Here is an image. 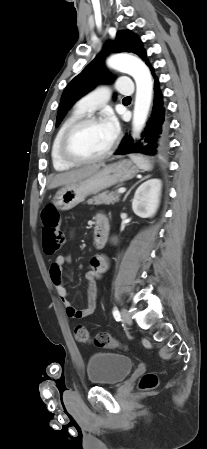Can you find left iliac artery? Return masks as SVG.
<instances>
[{
  "label": "left iliac artery",
  "mask_w": 207,
  "mask_h": 449,
  "mask_svg": "<svg viewBox=\"0 0 207 449\" xmlns=\"http://www.w3.org/2000/svg\"><path fill=\"white\" fill-rule=\"evenodd\" d=\"M113 316H114L116 321H120L121 320V316H120V313H119L117 308L113 309Z\"/></svg>",
  "instance_id": "44dca946"
}]
</instances>
